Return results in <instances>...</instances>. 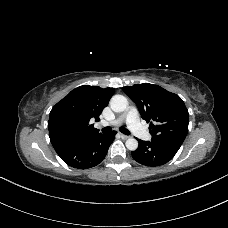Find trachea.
Returning a JSON list of instances; mask_svg holds the SVG:
<instances>
[{"mask_svg":"<svg viewBox=\"0 0 228 228\" xmlns=\"http://www.w3.org/2000/svg\"><path fill=\"white\" fill-rule=\"evenodd\" d=\"M111 130H112L111 127H104L102 129V132L103 133H109ZM119 130H120V132H122L125 135H129L130 134L129 130L124 128V127H121Z\"/></svg>","mask_w":228,"mask_h":228,"instance_id":"obj_1","label":"trachea"}]
</instances>
